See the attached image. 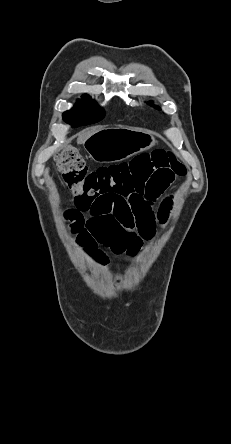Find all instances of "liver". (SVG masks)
Returning a JSON list of instances; mask_svg holds the SVG:
<instances>
[{
    "label": "liver",
    "instance_id": "obj_1",
    "mask_svg": "<svg viewBox=\"0 0 231 444\" xmlns=\"http://www.w3.org/2000/svg\"><path fill=\"white\" fill-rule=\"evenodd\" d=\"M102 128L101 127H93V128H89V129H85L82 132H80L78 134V138H77V143L78 144H84V142L93 134H95L96 132L100 131Z\"/></svg>",
    "mask_w": 231,
    "mask_h": 444
}]
</instances>
